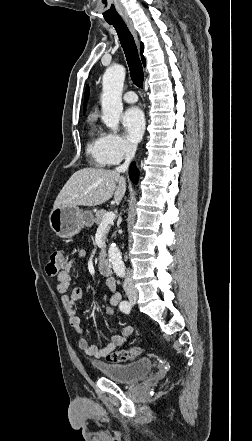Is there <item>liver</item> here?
I'll return each mask as SVG.
<instances>
[{
	"label": "liver",
	"instance_id": "obj_1",
	"mask_svg": "<svg viewBox=\"0 0 252 441\" xmlns=\"http://www.w3.org/2000/svg\"><path fill=\"white\" fill-rule=\"evenodd\" d=\"M125 191V178L116 170L87 167L73 173L58 194L54 207L97 206L113 195L119 204Z\"/></svg>",
	"mask_w": 252,
	"mask_h": 441
}]
</instances>
